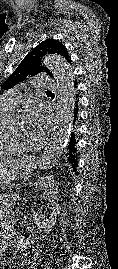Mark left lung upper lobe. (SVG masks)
Returning <instances> with one entry per match:
<instances>
[{"label":"left lung upper lobe","mask_w":118,"mask_h":269,"mask_svg":"<svg viewBox=\"0 0 118 269\" xmlns=\"http://www.w3.org/2000/svg\"><path fill=\"white\" fill-rule=\"evenodd\" d=\"M46 54H58L68 63H71L65 46L57 40L47 39L28 53L13 74L3 83L2 89H10L17 83L25 80L28 75L34 76L40 72H45L53 77L50 70L43 66L41 62L42 57Z\"/></svg>","instance_id":"obj_1"}]
</instances>
